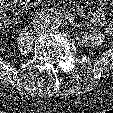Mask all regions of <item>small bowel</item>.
<instances>
[{
    "label": "small bowel",
    "mask_w": 113,
    "mask_h": 113,
    "mask_svg": "<svg viewBox=\"0 0 113 113\" xmlns=\"http://www.w3.org/2000/svg\"><path fill=\"white\" fill-rule=\"evenodd\" d=\"M40 1L41 0L37 1L23 0L22 3L25 5L26 8H32L36 6L38 3H40ZM109 9H110L109 0H99L98 7L89 12V17L94 25L103 27L106 34L113 36V19L112 20L107 19V13ZM71 10L78 15L84 14V9L79 4H73Z\"/></svg>",
    "instance_id": "1"
}]
</instances>
